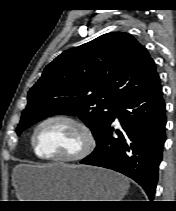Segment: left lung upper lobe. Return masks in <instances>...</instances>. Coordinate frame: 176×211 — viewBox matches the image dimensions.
<instances>
[{"label":"left lung upper lobe","instance_id":"5c2ea615","mask_svg":"<svg viewBox=\"0 0 176 211\" xmlns=\"http://www.w3.org/2000/svg\"><path fill=\"white\" fill-rule=\"evenodd\" d=\"M148 51L125 32L104 34L54 59L28 92L17 134L56 114L79 116L96 141L115 108L158 81Z\"/></svg>","mask_w":176,"mask_h":211}]
</instances>
